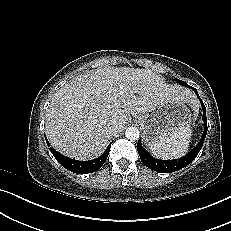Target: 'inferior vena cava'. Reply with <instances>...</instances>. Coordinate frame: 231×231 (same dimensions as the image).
<instances>
[{"label":"inferior vena cava","mask_w":231,"mask_h":231,"mask_svg":"<svg viewBox=\"0 0 231 231\" xmlns=\"http://www.w3.org/2000/svg\"><path fill=\"white\" fill-rule=\"evenodd\" d=\"M107 130L109 133H112V134H116L117 132L116 126H109Z\"/></svg>","instance_id":"obj_1"}]
</instances>
